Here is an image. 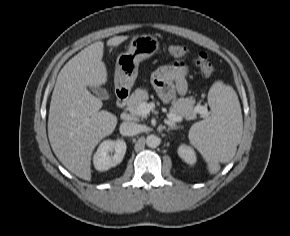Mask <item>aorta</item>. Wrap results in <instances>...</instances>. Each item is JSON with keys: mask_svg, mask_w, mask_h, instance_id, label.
<instances>
[{"mask_svg": "<svg viewBox=\"0 0 290 236\" xmlns=\"http://www.w3.org/2000/svg\"><path fill=\"white\" fill-rule=\"evenodd\" d=\"M146 144L150 148H156L160 144V139L156 135H149L146 138Z\"/></svg>", "mask_w": 290, "mask_h": 236, "instance_id": "aorta-1", "label": "aorta"}]
</instances>
